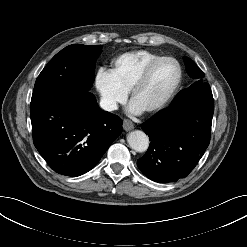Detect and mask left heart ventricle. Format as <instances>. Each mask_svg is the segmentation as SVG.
Wrapping results in <instances>:
<instances>
[{
  "label": "left heart ventricle",
  "instance_id": "left-heart-ventricle-1",
  "mask_svg": "<svg viewBox=\"0 0 247 247\" xmlns=\"http://www.w3.org/2000/svg\"><path fill=\"white\" fill-rule=\"evenodd\" d=\"M176 78L177 67L174 62L170 60L159 62L133 100L144 110L151 107L168 93Z\"/></svg>",
  "mask_w": 247,
  "mask_h": 247
}]
</instances>
